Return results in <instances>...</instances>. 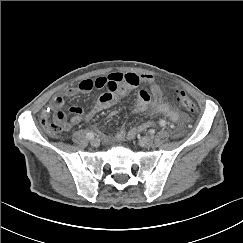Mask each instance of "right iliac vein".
<instances>
[{
  "mask_svg": "<svg viewBox=\"0 0 243 243\" xmlns=\"http://www.w3.org/2000/svg\"><path fill=\"white\" fill-rule=\"evenodd\" d=\"M90 143H91L92 146H95L96 147V146L99 145L100 141H99L98 138H92L91 141H90Z\"/></svg>",
  "mask_w": 243,
  "mask_h": 243,
  "instance_id": "right-iliac-vein-1",
  "label": "right iliac vein"
}]
</instances>
